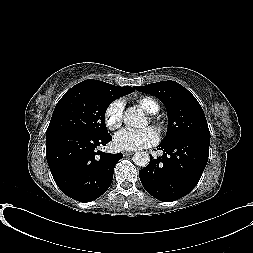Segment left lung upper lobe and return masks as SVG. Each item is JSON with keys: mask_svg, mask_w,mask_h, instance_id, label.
Here are the masks:
<instances>
[{"mask_svg": "<svg viewBox=\"0 0 253 253\" xmlns=\"http://www.w3.org/2000/svg\"><path fill=\"white\" fill-rule=\"evenodd\" d=\"M139 92L157 97L166 107L168 129L162 143L185 134L210 137L204 112L196 98L175 81H163L135 87Z\"/></svg>", "mask_w": 253, "mask_h": 253, "instance_id": "5c2ea615", "label": "left lung upper lobe"}]
</instances>
